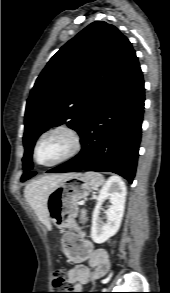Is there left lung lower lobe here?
Returning <instances> with one entry per match:
<instances>
[{"mask_svg":"<svg viewBox=\"0 0 170 293\" xmlns=\"http://www.w3.org/2000/svg\"><path fill=\"white\" fill-rule=\"evenodd\" d=\"M144 100L142 71L133 50L79 134L80 153L48 173L108 171L132 183L141 141Z\"/></svg>","mask_w":170,"mask_h":293,"instance_id":"obj_1","label":"left lung lower lobe"}]
</instances>
